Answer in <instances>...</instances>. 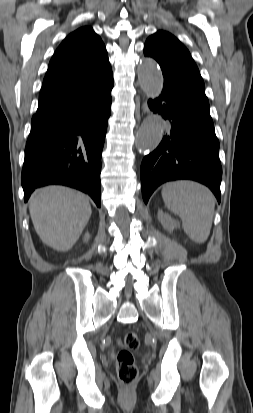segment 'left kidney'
Masks as SVG:
<instances>
[{
  "label": "left kidney",
  "mask_w": 253,
  "mask_h": 413,
  "mask_svg": "<svg viewBox=\"0 0 253 413\" xmlns=\"http://www.w3.org/2000/svg\"><path fill=\"white\" fill-rule=\"evenodd\" d=\"M158 220L168 232H172L175 228H179L178 222H176L169 214L164 213L161 210L158 211Z\"/></svg>",
  "instance_id": "obj_1"
}]
</instances>
